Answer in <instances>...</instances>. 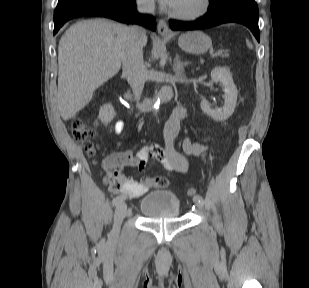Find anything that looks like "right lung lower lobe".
<instances>
[{
  "label": "right lung lower lobe",
  "instance_id": "98d812e1",
  "mask_svg": "<svg viewBox=\"0 0 309 288\" xmlns=\"http://www.w3.org/2000/svg\"><path fill=\"white\" fill-rule=\"evenodd\" d=\"M135 7V0H79L62 11L54 12L53 34L68 20L81 16L107 17L120 22L141 24L155 30L154 19L142 17Z\"/></svg>",
  "mask_w": 309,
  "mask_h": 288
}]
</instances>
